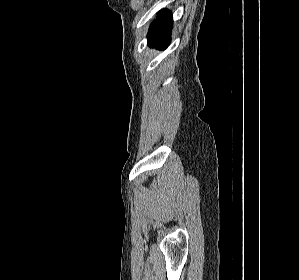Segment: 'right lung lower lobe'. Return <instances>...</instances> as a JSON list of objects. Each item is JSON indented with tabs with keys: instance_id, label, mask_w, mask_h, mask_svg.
<instances>
[{
	"instance_id": "98d812e1",
	"label": "right lung lower lobe",
	"mask_w": 299,
	"mask_h": 280,
	"mask_svg": "<svg viewBox=\"0 0 299 280\" xmlns=\"http://www.w3.org/2000/svg\"><path fill=\"white\" fill-rule=\"evenodd\" d=\"M173 18L170 11L162 10L151 24L148 32V45L157 49H166L170 43Z\"/></svg>"
}]
</instances>
